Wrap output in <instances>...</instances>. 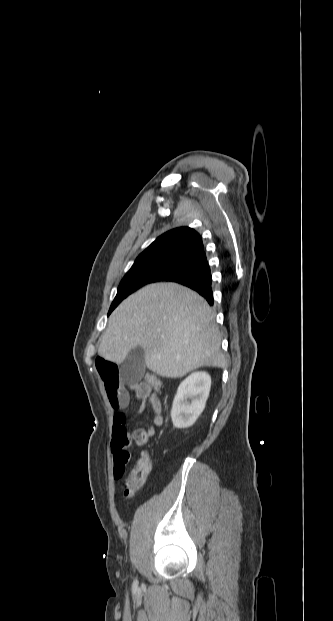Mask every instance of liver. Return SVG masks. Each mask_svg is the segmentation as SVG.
Here are the masks:
<instances>
[{
	"label": "liver",
	"mask_w": 333,
	"mask_h": 621,
	"mask_svg": "<svg viewBox=\"0 0 333 621\" xmlns=\"http://www.w3.org/2000/svg\"><path fill=\"white\" fill-rule=\"evenodd\" d=\"M208 303L175 283L148 285L111 314L98 353L122 363L141 347L145 365L163 377L179 378L199 367H225L221 337Z\"/></svg>",
	"instance_id": "obj_1"
}]
</instances>
